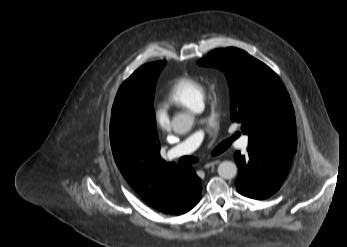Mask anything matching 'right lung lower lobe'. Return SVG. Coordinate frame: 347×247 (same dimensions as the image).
Listing matches in <instances>:
<instances>
[{"label": "right lung lower lobe", "mask_w": 347, "mask_h": 247, "mask_svg": "<svg viewBox=\"0 0 347 247\" xmlns=\"http://www.w3.org/2000/svg\"><path fill=\"white\" fill-rule=\"evenodd\" d=\"M184 171L188 174L190 182H193V188H191V191L187 193L184 199L180 201V203L169 213L167 214H173V215H180L188 212L191 210L194 206L197 205L201 198V180L197 177L194 170L189 167L185 166Z\"/></svg>", "instance_id": "obj_1"}]
</instances>
